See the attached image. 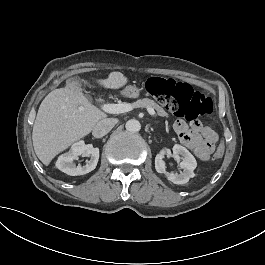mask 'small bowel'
I'll use <instances>...</instances> for the list:
<instances>
[{
  "label": "small bowel",
  "mask_w": 265,
  "mask_h": 265,
  "mask_svg": "<svg viewBox=\"0 0 265 265\" xmlns=\"http://www.w3.org/2000/svg\"><path fill=\"white\" fill-rule=\"evenodd\" d=\"M171 126L183 146L200 161L209 160L218 141V135L211 127L203 126L198 121L188 124L183 119H176Z\"/></svg>",
  "instance_id": "small-bowel-1"
}]
</instances>
